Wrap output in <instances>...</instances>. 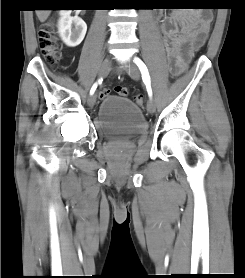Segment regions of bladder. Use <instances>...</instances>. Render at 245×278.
<instances>
[{
	"mask_svg": "<svg viewBox=\"0 0 245 278\" xmlns=\"http://www.w3.org/2000/svg\"><path fill=\"white\" fill-rule=\"evenodd\" d=\"M96 123L106 140L138 136L146 130L141 108L130 99L117 95H109L101 101Z\"/></svg>",
	"mask_w": 245,
	"mask_h": 278,
	"instance_id": "obj_1",
	"label": "bladder"
}]
</instances>
